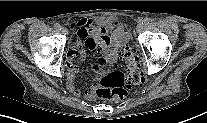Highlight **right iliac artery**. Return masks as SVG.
Wrapping results in <instances>:
<instances>
[{
    "instance_id": "1",
    "label": "right iliac artery",
    "mask_w": 207,
    "mask_h": 123,
    "mask_svg": "<svg viewBox=\"0 0 207 123\" xmlns=\"http://www.w3.org/2000/svg\"><path fill=\"white\" fill-rule=\"evenodd\" d=\"M55 28L60 30V29H61L60 24L56 23V24H55Z\"/></svg>"
}]
</instances>
